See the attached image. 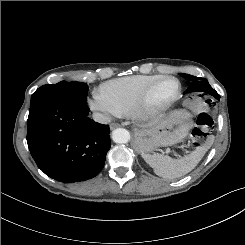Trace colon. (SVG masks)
Wrapping results in <instances>:
<instances>
[{
    "instance_id": "obj_1",
    "label": "colon",
    "mask_w": 245,
    "mask_h": 245,
    "mask_svg": "<svg viewBox=\"0 0 245 245\" xmlns=\"http://www.w3.org/2000/svg\"><path fill=\"white\" fill-rule=\"evenodd\" d=\"M213 129V119L211 114L198 113L196 125L191 131L190 137L192 145L198 148Z\"/></svg>"
}]
</instances>
